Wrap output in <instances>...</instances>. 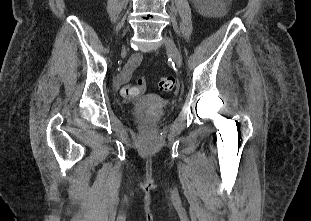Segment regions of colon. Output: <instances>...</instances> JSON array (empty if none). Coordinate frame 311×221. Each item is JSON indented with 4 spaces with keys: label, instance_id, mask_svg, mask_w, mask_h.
Returning <instances> with one entry per match:
<instances>
[{
    "label": "colon",
    "instance_id": "1",
    "mask_svg": "<svg viewBox=\"0 0 311 221\" xmlns=\"http://www.w3.org/2000/svg\"><path fill=\"white\" fill-rule=\"evenodd\" d=\"M177 86V81L173 76H163L160 78L158 82L159 90L170 93ZM146 87L144 82L139 83L137 86H133L131 84H126L123 86L121 90V96L125 99L132 98L136 95L138 89H144Z\"/></svg>",
    "mask_w": 311,
    "mask_h": 221
}]
</instances>
